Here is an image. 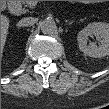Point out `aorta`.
Here are the masks:
<instances>
[{
    "instance_id": "aorta-1",
    "label": "aorta",
    "mask_w": 109,
    "mask_h": 109,
    "mask_svg": "<svg viewBox=\"0 0 109 109\" xmlns=\"http://www.w3.org/2000/svg\"><path fill=\"white\" fill-rule=\"evenodd\" d=\"M39 27L44 34H52L56 30V23L53 19H45L40 22Z\"/></svg>"
}]
</instances>
